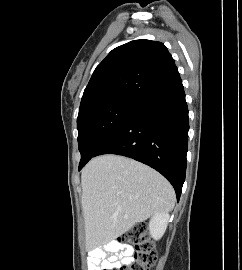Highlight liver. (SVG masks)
<instances>
[{
	"mask_svg": "<svg viewBox=\"0 0 242 270\" xmlns=\"http://www.w3.org/2000/svg\"><path fill=\"white\" fill-rule=\"evenodd\" d=\"M86 245L106 244L156 213L175 205L170 183L135 160L102 155L93 158L81 175Z\"/></svg>",
	"mask_w": 242,
	"mask_h": 270,
	"instance_id": "liver-1",
	"label": "liver"
}]
</instances>
